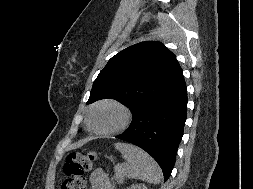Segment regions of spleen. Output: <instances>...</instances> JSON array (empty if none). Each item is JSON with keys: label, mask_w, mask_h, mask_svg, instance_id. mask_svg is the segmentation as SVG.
Here are the masks:
<instances>
[{"label": "spleen", "mask_w": 253, "mask_h": 189, "mask_svg": "<svg viewBox=\"0 0 253 189\" xmlns=\"http://www.w3.org/2000/svg\"><path fill=\"white\" fill-rule=\"evenodd\" d=\"M123 158L127 161L122 168L128 178L141 179L152 184H158L162 178V171L157 162L144 150L132 144L115 143Z\"/></svg>", "instance_id": "spleen-1"}]
</instances>
